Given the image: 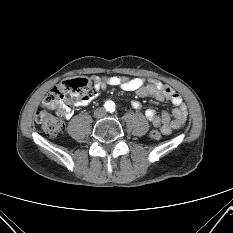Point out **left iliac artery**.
Masks as SVG:
<instances>
[{
    "instance_id": "1",
    "label": "left iliac artery",
    "mask_w": 233,
    "mask_h": 233,
    "mask_svg": "<svg viewBox=\"0 0 233 233\" xmlns=\"http://www.w3.org/2000/svg\"><path fill=\"white\" fill-rule=\"evenodd\" d=\"M108 110L110 111V113L114 112L115 111V104L114 102H109V107H108Z\"/></svg>"
}]
</instances>
